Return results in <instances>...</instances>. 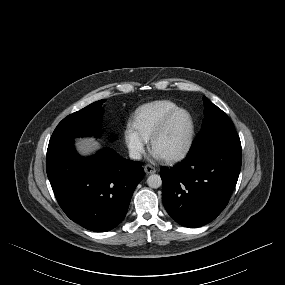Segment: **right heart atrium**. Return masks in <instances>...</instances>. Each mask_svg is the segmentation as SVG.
<instances>
[{
    "label": "right heart atrium",
    "instance_id": "right-heart-atrium-1",
    "mask_svg": "<svg viewBox=\"0 0 285 285\" xmlns=\"http://www.w3.org/2000/svg\"><path fill=\"white\" fill-rule=\"evenodd\" d=\"M124 140L134 158H140L147 149V140L142 138L131 125L124 130Z\"/></svg>",
    "mask_w": 285,
    "mask_h": 285
}]
</instances>
